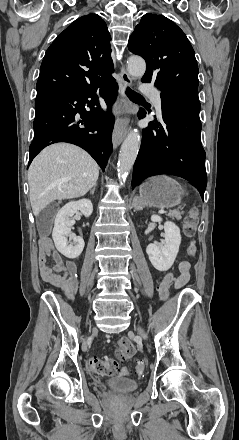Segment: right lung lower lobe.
I'll return each mask as SVG.
<instances>
[{
	"instance_id": "98d812e1",
	"label": "right lung lower lobe",
	"mask_w": 239,
	"mask_h": 440,
	"mask_svg": "<svg viewBox=\"0 0 239 440\" xmlns=\"http://www.w3.org/2000/svg\"><path fill=\"white\" fill-rule=\"evenodd\" d=\"M117 89L118 85L111 76L87 88L37 93L29 164L44 147L69 142L85 149L104 170L112 151L114 117L111 106ZM97 90L108 106L107 112L98 103ZM86 105L90 111L85 109ZM94 131L100 134H92Z\"/></svg>"
}]
</instances>
